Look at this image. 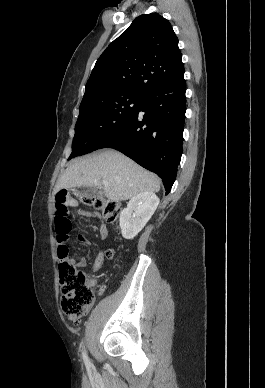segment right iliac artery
I'll use <instances>...</instances> for the list:
<instances>
[{
  "mask_svg": "<svg viewBox=\"0 0 265 388\" xmlns=\"http://www.w3.org/2000/svg\"><path fill=\"white\" fill-rule=\"evenodd\" d=\"M82 355H83V360H84L85 365H86L87 367H89V366H90V361H89V359H88V357H87L85 351L82 352Z\"/></svg>",
  "mask_w": 265,
  "mask_h": 388,
  "instance_id": "82829eb1",
  "label": "right iliac artery"
}]
</instances>
